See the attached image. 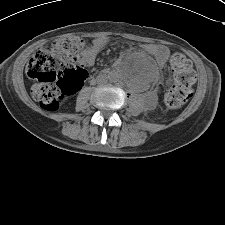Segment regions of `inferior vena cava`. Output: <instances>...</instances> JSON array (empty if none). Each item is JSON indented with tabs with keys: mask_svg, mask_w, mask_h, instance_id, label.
<instances>
[{
	"mask_svg": "<svg viewBox=\"0 0 225 225\" xmlns=\"http://www.w3.org/2000/svg\"><path fill=\"white\" fill-rule=\"evenodd\" d=\"M107 79L103 77H98L97 82L98 83H104Z\"/></svg>",
	"mask_w": 225,
	"mask_h": 225,
	"instance_id": "602c4592",
	"label": "inferior vena cava"
}]
</instances>
